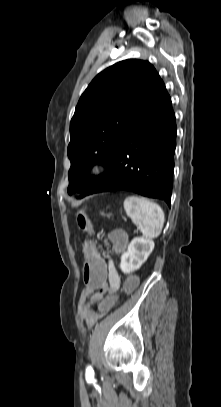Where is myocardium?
Returning a JSON list of instances; mask_svg holds the SVG:
<instances>
[{"instance_id": "f54148a6", "label": "myocardium", "mask_w": 221, "mask_h": 407, "mask_svg": "<svg viewBox=\"0 0 221 407\" xmlns=\"http://www.w3.org/2000/svg\"><path fill=\"white\" fill-rule=\"evenodd\" d=\"M110 167V161L106 158L93 160L87 167V175L92 179L102 177Z\"/></svg>"}]
</instances>
